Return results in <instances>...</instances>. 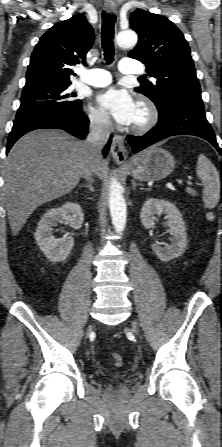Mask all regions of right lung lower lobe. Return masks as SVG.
<instances>
[{"label":"right lung lower lobe","mask_w":222,"mask_h":447,"mask_svg":"<svg viewBox=\"0 0 222 447\" xmlns=\"http://www.w3.org/2000/svg\"><path fill=\"white\" fill-rule=\"evenodd\" d=\"M88 123L89 120L82 113L81 106L67 107L37 117L15 121L9 135L7 152L22 135L35 129H62L75 137L85 138L88 133ZM110 142L111 139L103 150L104 156L108 154Z\"/></svg>","instance_id":"right-lung-lower-lobe-1"}]
</instances>
